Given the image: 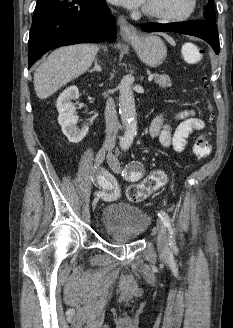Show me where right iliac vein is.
<instances>
[{
  "label": "right iliac vein",
  "instance_id": "63e3f726",
  "mask_svg": "<svg viewBox=\"0 0 233 328\" xmlns=\"http://www.w3.org/2000/svg\"><path fill=\"white\" fill-rule=\"evenodd\" d=\"M105 154H106V149L105 148H102L96 154V156H95V163H96L97 167H99L103 163V161L105 159ZM98 201H99V198L98 197L94 198V200L92 201V207H93V209L96 208V206L98 204Z\"/></svg>",
  "mask_w": 233,
  "mask_h": 328
}]
</instances>
